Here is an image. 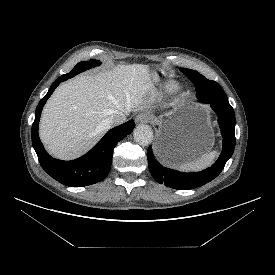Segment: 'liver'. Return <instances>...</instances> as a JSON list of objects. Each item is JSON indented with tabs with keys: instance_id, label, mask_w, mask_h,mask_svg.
I'll list each match as a JSON object with an SVG mask.
<instances>
[{
	"instance_id": "1",
	"label": "liver",
	"mask_w": 275,
	"mask_h": 275,
	"mask_svg": "<svg viewBox=\"0 0 275 275\" xmlns=\"http://www.w3.org/2000/svg\"><path fill=\"white\" fill-rule=\"evenodd\" d=\"M152 83V72L143 64L117 65L62 83L43 109L42 142L59 159L83 155L110 128L105 124L109 116L145 108L144 96Z\"/></svg>"
}]
</instances>
